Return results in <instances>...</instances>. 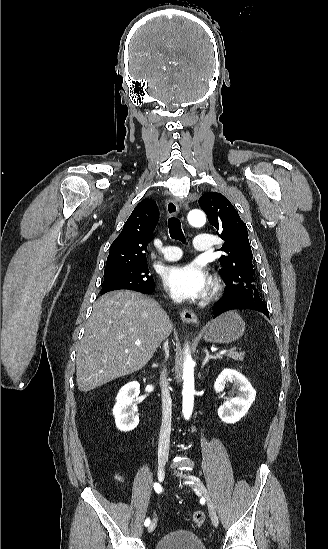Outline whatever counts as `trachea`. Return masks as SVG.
Listing matches in <instances>:
<instances>
[{"label":"trachea","mask_w":328,"mask_h":549,"mask_svg":"<svg viewBox=\"0 0 328 549\" xmlns=\"http://www.w3.org/2000/svg\"><path fill=\"white\" fill-rule=\"evenodd\" d=\"M168 229L171 239L179 240L182 243H187L186 238L182 232L181 222L176 217H170L168 219Z\"/></svg>","instance_id":"trachea-1"}]
</instances>
